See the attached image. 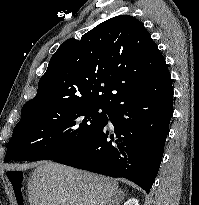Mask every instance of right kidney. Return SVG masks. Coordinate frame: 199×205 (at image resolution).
<instances>
[{
    "instance_id": "ca27d5eb",
    "label": "right kidney",
    "mask_w": 199,
    "mask_h": 205,
    "mask_svg": "<svg viewBox=\"0 0 199 205\" xmlns=\"http://www.w3.org/2000/svg\"><path fill=\"white\" fill-rule=\"evenodd\" d=\"M124 205H139V202L137 199L131 198Z\"/></svg>"
}]
</instances>
